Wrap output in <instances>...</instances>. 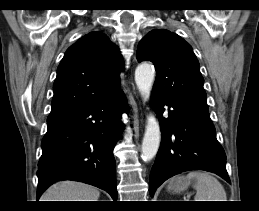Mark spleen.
Here are the masks:
<instances>
[{"label": "spleen", "mask_w": 259, "mask_h": 211, "mask_svg": "<svg viewBox=\"0 0 259 211\" xmlns=\"http://www.w3.org/2000/svg\"><path fill=\"white\" fill-rule=\"evenodd\" d=\"M186 178L195 179V201H227L222 184L208 172L192 171Z\"/></svg>", "instance_id": "1"}]
</instances>
